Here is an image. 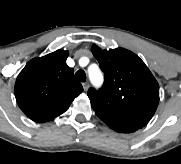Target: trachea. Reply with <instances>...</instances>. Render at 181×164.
Listing matches in <instances>:
<instances>
[{"label": "trachea", "mask_w": 181, "mask_h": 164, "mask_svg": "<svg viewBox=\"0 0 181 164\" xmlns=\"http://www.w3.org/2000/svg\"><path fill=\"white\" fill-rule=\"evenodd\" d=\"M75 79L80 81V82H85L86 81V74L83 70H78L75 73Z\"/></svg>", "instance_id": "3493384b"}]
</instances>
